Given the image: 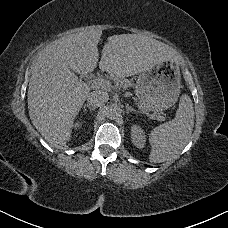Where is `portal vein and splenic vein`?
<instances>
[{
	"instance_id": "obj_1",
	"label": "portal vein and splenic vein",
	"mask_w": 228,
	"mask_h": 228,
	"mask_svg": "<svg viewBox=\"0 0 228 228\" xmlns=\"http://www.w3.org/2000/svg\"><path fill=\"white\" fill-rule=\"evenodd\" d=\"M91 83L95 88L107 89L111 86L110 82L104 78L92 79ZM134 105L136 106L137 104L135 103ZM136 107L138 108L139 106L137 105ZM137 110L142 115V117L149 118L151 121L156 122V123L159 121L158 118L162 119L164 117L162 114L161 115L160 114L158 115L157 113L154 114L151 111L149 113L143 112L140 107ZM162 120L165 122L167 119L164 117Z\"/></svg>"
}]
</instances>
